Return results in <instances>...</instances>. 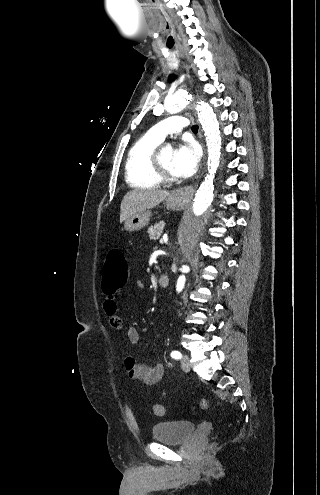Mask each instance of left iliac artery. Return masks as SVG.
Segmentation results:
<instances>
[{"instance_id": "obj_1", "label": "left iliac artery", "mask_w": 320, "mask_h": 495, "mask_svg": "<svg viewBox=\"0 0 320 495\" xmlns=\"http://www.w3.org/2000/svg\"><path fill=\"white\" fill-rule=\"evenodd\" d=\"M171 357L174 359H181L182 355L179 351L174 350L171 352Z\"/></svg>"}]
</instances>
